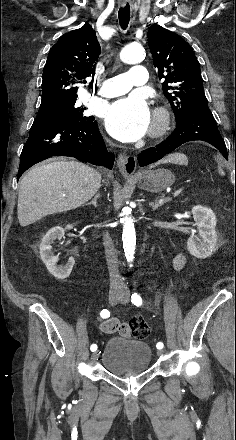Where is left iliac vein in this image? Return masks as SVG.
Returning <instances> with one entry per match:
<instances>
[{
  "label": "left iliac vein",
  "mask_w": 236,
  "mask_h": 440,
  "mask_svg": "<svg viewBox=\"0 0 236 440\" xmlns=\"http://www.w3.org/2000/svg\"><path fill=\"white\" fill-rule=\"evenodd\" d=\"M119 302L122 303V304L128 303L129 302V294L128 293H123L121 295V297L119 298ZM157 354L158 355H162L163 351L162 350H158Z\"/></svg>",
  "instance_id": "left-iliac-vein-1"
}]
</instances>
